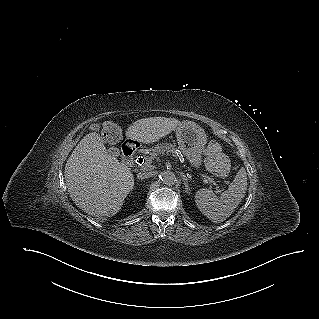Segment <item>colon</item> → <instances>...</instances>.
<instances>
[{
  "label": "colon",
  "instance_id": "1",
  "mask_svg": "<svg viewBox=\"0 0 319 319\" xmlns=\"http://www.w3.org/2000/svg\"><path fill=\"white\" fill-rule=\"evenodd\" d=\"M91 130L95 134L103 133L105 139L112 145H119L122 142L120 127L109 119L93 122ZM206 155L208 169L217 177H225L229 171V161L222 152L221 145L216 141L210 142L206 148Z\"/></svg>",
  "mask_w": 319,
  "mask_h": 319
}]
</instances>
